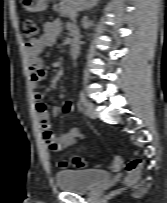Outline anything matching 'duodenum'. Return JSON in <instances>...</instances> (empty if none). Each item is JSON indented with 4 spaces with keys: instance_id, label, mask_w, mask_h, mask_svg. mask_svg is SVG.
Instances as JSON below:
<instances>
[{
    "instance_id": "obj_1",
    "label": "duodenum",
    "mask_w": 167,
    "mask_h": 203,
    "mask_svg": "<svg viewBox=\"0 0 167 203\" xmlns=\"http://www.w3.org/2000/svg\"><path fill=\"white\" fill-rule=\"evenodd\" d=\"M78 53H79V44H78L77 38H75L71 44L70 58L76 59V57L78 56Z\"/></svg>"
}]
</instances>
